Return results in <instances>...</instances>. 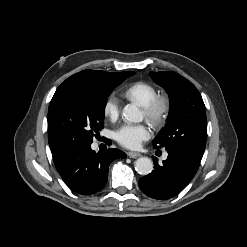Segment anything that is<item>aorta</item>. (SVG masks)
<instances>
[{"label": "aorta", "instance_id": "obj_1", "mask_svg": "<svg viewBox=\"0 0 247 247\" xmlns=\"http://www.w3.org/2000/svg\"><path fill=\"white\" fill-rule=\"evenodd\" d=\"M122 117L129 122H141L143 117L140 110L134 105H126L122 111ZM135 170L141 175H148L153 170V162L148 157H140L135 161Z\"/></svg>", "mask_w": 247, "mask_h": 247}]
</instances>
